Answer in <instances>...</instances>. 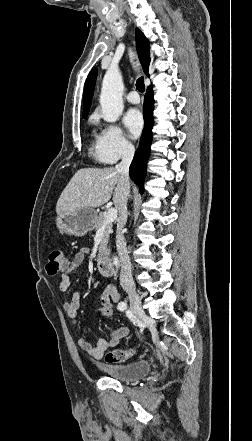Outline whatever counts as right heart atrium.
Masks as SVG:
<instances>
[{
  "label": "right heart atrium",
  "instance_id": "1",
  "mask_svg": "<svg viewBox=\"0 0 252 441\" xmlns=\"http://www.w3.org/2000/svg\"><path fill=\"white\" fill-rule=\"evenodd\" d=\"M135 152L133 143L117 124H105L97 136L98 159L114 164L119 159L129 158Z\"/></svg>",
  "mask_w": 252,
  "mask_h": 441
}]
</instances>
